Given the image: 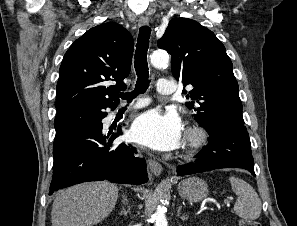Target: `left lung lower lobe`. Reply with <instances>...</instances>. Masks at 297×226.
Returning a JSON list of instances; mask_svg holds the SVG:
<instances>
[{
    "mask_svg": "<svg viewBox=\"0 0 297 226\" xmlns=\"http://www.w3.org/2000/svg\"><path fill=\"white\" fill-rule=\"evenodd\" d=\"M206 130L210 135L208 145L198 153L195 163L179 166L178 175L231 167L246 169L255 176L251 143L245 126L218 123Z\"/></svg>",
    "mask_w": 297,
    "mask_h": 226,
    "instance_id": "left-lung-lower-lobe-1",
    "label": "left lung lower lobe"
}]
</instances>
